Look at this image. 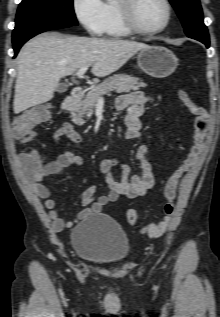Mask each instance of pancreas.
Listing matches in <instances>:
<instances>
[{"label": "pancreas", "mask_w": 220, "mask_h": 317, "mask_svg": "<svg viewBox=\"0 0 220 317\" xmlns=\"http://www.w3.org/2000/svg\"><path fill=\"white\" fill-rule=\"evenodd\" d=\"M140 87H146V84L141 82L139 78L126 74L110 76L90 90L84 100L77 105L73 113L74 123L81 124L84 116L91 117L98 100L110 91L123 93L130 92L131 90H138Z\"/></svg>", "instance_id": "pancreas-1"}]
</instances>
